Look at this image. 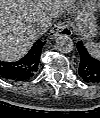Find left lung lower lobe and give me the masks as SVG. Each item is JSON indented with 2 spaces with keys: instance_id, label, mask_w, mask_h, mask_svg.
Masks as SVG:
<instances>
[{
  "instance_id": "0a47b994",
  "label": "left lung lower lobe",
  "mask_w": 100,
  "mask_h": 118,
  "mask_svg": "<svg viewBox=\"0 0 100 118\" xmlns=\"http://www.w3.org/2000/svg\"><path fill=\"white\" fill-rule=\"evenodd\" d=\"M76 47L80 54L79 75L87 83H100V60L89 55L82 41Z\"/></svg>"
}]
</instances>
